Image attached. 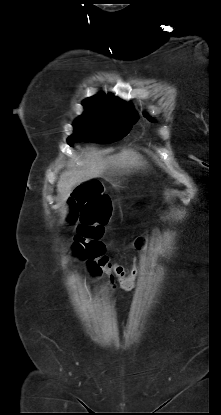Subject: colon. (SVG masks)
Returning a JSON list of instances; mask_svg holds the SVG:
<instances>
[{
    "label": "colon",
    "instance_id": "5ec220e1",
    "mask_svg": "<svg viewBox=\"0 0 221 415\" xmlns=\"http://www.w3.org/2000/svg\"><path fill=\"white\" fill-rule=\"evenodd\" d=\"M110 201L102 194L99 186L88 184L74 193L70 201L69 221H79L74 237L73 250L81 259H88L93 273L107 276L109 283H117L123 294L136 289V280L141 272L140 260L134 259L128 267L124 262H111L104 254V245L100 241L104 227L110 218ZM138 249L144 246V240L135 242Z\"/></svg>",
    "mask_w": 221,
    "mask_h": 415
}]
</instances>
